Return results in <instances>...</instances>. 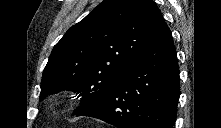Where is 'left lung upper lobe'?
Instances as JSON below:
<instances>
[{
  "label": "left lung upper lobe",
  "instance_id": "obj_1",
  "mask_svg": "<svg viewBox=\"0 0 221 128\" xmlns=\"http://www.w3.org/2000/svg\"><path fill=\"white\" fill-rule=\"evenodd\" d=\"M166 26L152 0H104L54 46L40 100L73 89L82 96L77 115L95 107Z\"/></svg>",
  "mask_w": 221,
  "mask_h": 128
}]
</instances>
